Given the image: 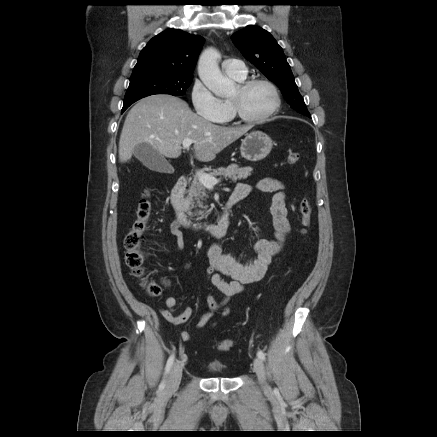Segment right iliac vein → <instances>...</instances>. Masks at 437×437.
<instances>
[{
	"mask_svg": "<svg viewBox=\"0 0 437 437\" xmlns=\"http://www.w3.org/2000/svg\"><path fill=\"white\" fill-rule=\"evenodd\" d=\"M181 377L182 365L179 362H176L169 373L168 381L165 388V392L167 394H171L178 389Z\"/></svg>",
	"mask_w": 437,
	"mask_h": 437,
	"instance_id": "obj_1",
	"label": "right iliac vein"
}]
</instances>
